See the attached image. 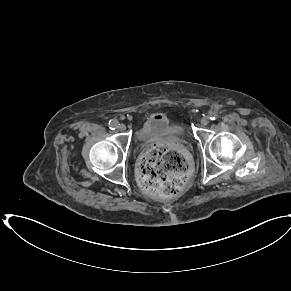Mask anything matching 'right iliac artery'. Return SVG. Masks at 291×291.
<instances>
[{
	"mask_svg": "<svg viewBox=\"0 0 291 291\" xmlns=\"http://www.w3.org/2000/svg\"><path fill=\"white\" fill-rule=\"evenodd\" d=\"M108 125L111 130H115L118 127L119 122L115 119H112L109 121Z\"/></svg>",
	"mask_w": 291,
	"mask_h": 291,
	"instance_id": "right-iliac-artery-1",
	"label": "right iliac artery"
}]
</instances>
